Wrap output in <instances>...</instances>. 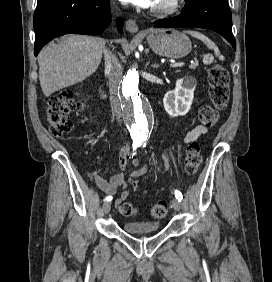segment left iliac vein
<instances>
[{"instance_id": "obj_1", "label": "left iliac vein", "mask_w": 272, "mask_h": 282, "mask_svg": "<svg viewBox=\"0 0 272 282\" xmlns=\"http://www.w3.org/2000/svg\"><path fill=\"white\" fill-rule=\"evenodd\" d=\"M172 206L174 208V210L179 211L180 210V201H178L177 199H173L172 200Z\"/></svg>"}]
</instances>
